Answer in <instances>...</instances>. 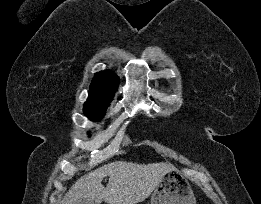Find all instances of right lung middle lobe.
<instances>
[{
    "instance_id": "1",
    "label": "right lung middle lobe",
    "mask_w": 261,
    "mask_h": 204,
    "mask_svg": "<svg viewBox=\"0 0 261 204\" xmlns=\"http://www.w3.org/2000/svg\"><path fill=\"white\" fill-rule=\"evenodd\" d=\"M105 106L84 105V114L92 121L100 120L106 112Z\"/></svg>"
}]
</instances>
